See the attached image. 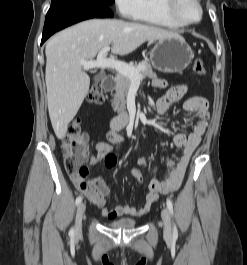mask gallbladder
I'll list each match as a JSON object with an SVG mask.
<instances>
[{"label":"gallbladder","mask_w":247,"mask_h":265,"mask_svg":"<svg viewBox=\"0 0 247 265\" xmlns=\"http://www.w3.org/2000/svg\"><path fill=\"white\" fill-rule=\"evenodd\" d=\"M95 80H96V81H99V80H100V76H96V77H95Z\"/></svg>","instance_id":"bac80fb5"}]
</instances>
